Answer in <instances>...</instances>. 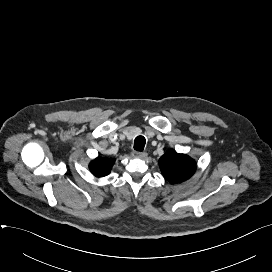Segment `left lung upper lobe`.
Instances as JSON below:
<instances>
[{
  "label": "left lung upper lobe",
  "instance_id": "1",
  "mask_svg": "<svg viewBox=\"0 0 272 272\" xmlns=\"http://www.w3.org/2000/svg\"><path fill=\"white\" fill-rule=\"evenodd\" d=\"M159 167L170 183H181L189 179L196 170V162L186 154L168 150L160 159Z\"/></svg>",
  "mask_w": 272,
  "mask_h": 272
}]
</instances>
